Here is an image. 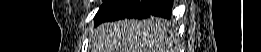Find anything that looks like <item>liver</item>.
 Segmentation results:
<instances>
[{
    "label": "liver",
    "instance_id": "liver-1",
    "mask_svg": "<svg viewBox=\"0 0 261 52\" xmlns=\"http://www.w3.org/2000/svg\"><path fill=\"white\" fill-rule=\"evenodd\" d=\"M172 24L162 18L102 23L92 34V52H169Z\"/></svg>",
    "mask_w": 261,
    "mask_h": 52
}]
</instances>
